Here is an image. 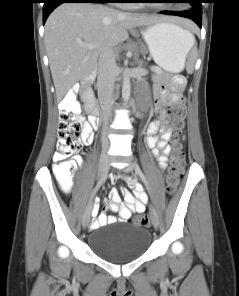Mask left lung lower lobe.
Instances as JSON below:
<instances>
[{
  "mask_svg": "<svg viewBox=\"0 0 239 296\" xmlns=\"http://www.w3.org/2000/svg\"><path fill=\"white\" fill-rule=\"evenodd\" d=\"M184 3H187V2L184 1ZM160 13L189 18V19L193 20L195 23H197V25L201 28L202 10H198L194 6H191L189 8V10H186V11H179V12H176V11H162Z\"/></svg>",
  "mask_w": 239,
  "mask_h": 296,
  "instance_id": "1",
  "label": "left lung lower lobe"
}]
</instances>
